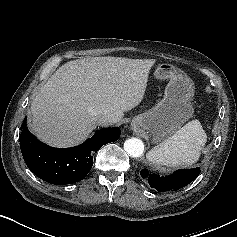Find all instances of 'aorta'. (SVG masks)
I'll use <instances>...</instances> for the list:
<instances>
[{
	"mask_svg": "<svg viewBox=\"0 0 237 237\" xmlns=\"http://www.w3.org/2000/svg\"><path fill=\"white\" fill-rule=\"evenodd\" d=\"M124 150L134 158L142 156L144 152V143L138 138H130L124 142Z\"/></svg>",
	"mask_w": 237,
	"mask_h": 237,
	"instance_id": "obj_1",
	"label": "aorta"
}]
</instances>
